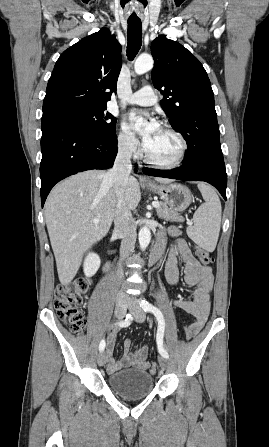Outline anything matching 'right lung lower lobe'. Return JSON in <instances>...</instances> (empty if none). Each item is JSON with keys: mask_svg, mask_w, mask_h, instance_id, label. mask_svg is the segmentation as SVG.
Masks as SVG:
<instances>
[{"mask_svg": "<svg viewBox=\"0 0 269 447\" xmlns=\"http://www.w3.org/2000/svg\"><path fill=\"white\" fill-rule=\"evenodd\" d=\"M41 203L60 180L90 169H108L117 155V136L84 128L64 113L42 116ZM137 170L135 169V172Z\"/></svg>", "mask_w": 269, "mask_h": 447, "instance_id": "obj_1", "label": "right lung lower lobe"}]
</instances>
